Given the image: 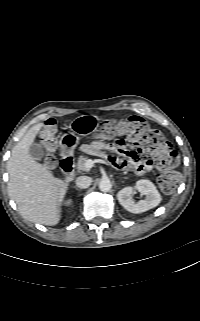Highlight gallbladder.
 Listing matches in <instances>:
<instances>
[{"label": "gallbladder", "mask_w": 200, "mask_h": 321, "mask_svg": "<svg viewBox=\"0 0 200 321\" xmlns=\"http://www.w3.org/2000/svg\"><path fill=\"white\" fill-rule=\"evenodd\" d=\"M29 154L35 160H41L45 156V152L40 144L33 143L29 147Z\"/></svg>", "instance_id": "obj_1"}]
</instances>
